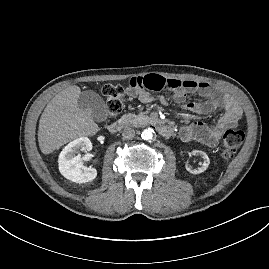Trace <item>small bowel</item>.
<instances>
[{
	"label": "small bowel",
	"instance_id": "1",
	"mask_svg": "<svg viewBox=\"0 0 269 269\" xmlns=\"http://www.w3.org/2000/svg\"><path fill=\"white\" fill-rule=\"evenodd\" d=\"M128 94L137 97L142 102H149L151 95H155L166 103L175 101L186 111L207 115L218 108L223 109L214 126H208L202 122L187 124L180 129L179 136L185 142H199L207 146L218 144L222 134L235 127L242 118V110L239 104L229 95L219 89L203 82L193 80L165 79L159 75L133 77L128 86ZM198 93L204 98L202 102H188L187 95Z\"/></svg>",
	"mask_w": 269,
	"mask_h": 269
}]
</instances>
